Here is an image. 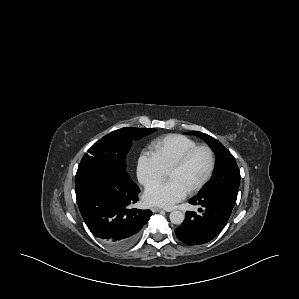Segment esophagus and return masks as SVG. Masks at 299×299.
I'll return each mask as SVG.
<instances>
[{"label": "esophagus", "mask_w": 299, "mask_h": 299, "mask_svg": "<svg viewBox=\"0 0 299 299\" xmlns=\"http://www.w3.org/2000/svg\"><path fill=\"white\" fill-rule=\"evenodd\" d=\"M162 210H163V209L158 208V207H152V208H151V211L154 212V213H155V212H160V211H162Z\"/></svg>", "instance_id": "esophagus-1"}]
</instances>
